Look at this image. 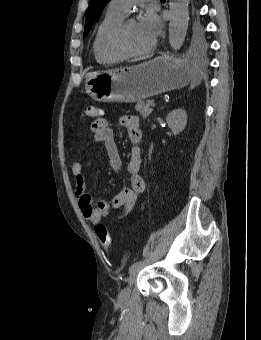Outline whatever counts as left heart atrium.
<instances>
[{"instance_id":"1","label":"left heart atrium","mask_w":261,"mask_h":340,"mask_svg":"<svg viewBox=\"0 0 261 340\" xmlns=\"http://www.w3.org/2000/svg\"><path fill=\"white\" fill-rule=\"evenodd\" d=\"M141 30L154 40L160 33L161 20L159 16L152 10H148L144 13L138 22Z\"/></svg>"}]
</instances>
